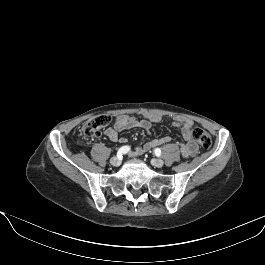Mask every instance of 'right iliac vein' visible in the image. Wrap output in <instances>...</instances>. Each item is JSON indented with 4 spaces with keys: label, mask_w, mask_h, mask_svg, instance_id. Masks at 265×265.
<instances>
[{
    "label": "right iliac vein",
    "mask_w": 265,
    "mask_h": 265,
    "mask_svg": "<svg viewBox=\"0 0 265 265\" xmlns=\"http://www.w3.org/2000/svg\"><path fill=\"white\" fill-rule=\"evenodd\" d=\"M110 163L113 165V166H119L121 164V159L119 157H112L110 159Z\"/></svg>",
    "instance_id": "obj_1"
}]
</instances>
